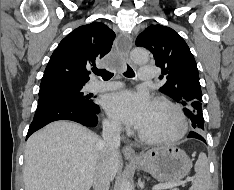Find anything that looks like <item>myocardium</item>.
<instances>
[{
    "label": "myocardium",
    "instance_id": "1",
    "mask_svg": "<svg viewBox=\"0 0 234 190\" xmlns=\"http://www.w3.org/2000/svg\"><path fill=\"white\" fill-rule=\"evenodd\" d=\"M153 104H159L168 108L175 115L178 122V127L174 132L161 135H148L139 130L138 137L143 142L149 144L172 142L184 137L187 133L188 124L182 109L175 102L163 96H158L154 98Z\"/></svg>",
    "mask_w": 234,
    "mask_h": 190
}]
</instances>
